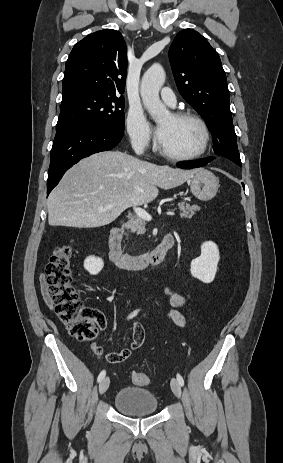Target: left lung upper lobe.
<instances>
[{"label": "left lung upper lobe", "instance_id": "1", "mask_svg": "<svg viewBox=\"0 0 283 463\" xmlns=\"http://www.w3.org/2000/svg\"><path fill=\"white\" fill-rule=\"evenodd\" d=\"M169 59L180 94L207 122L214 153L241 166L226 74L218 53L200 33L185 29L174 38Z\"/></svg>", "mask_w": 283, "mask_h": 463}]
</instances>
